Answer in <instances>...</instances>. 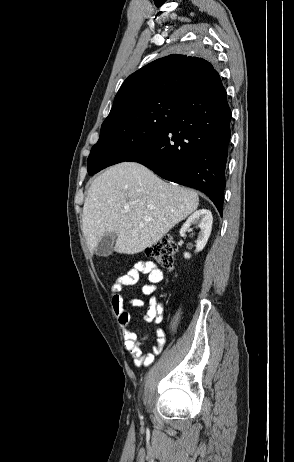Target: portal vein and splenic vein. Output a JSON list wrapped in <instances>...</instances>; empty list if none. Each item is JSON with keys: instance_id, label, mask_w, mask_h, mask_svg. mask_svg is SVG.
Here are the masks:
<instances>
[{"instance_id": "obj_1", "label": "portal vein and splenic vein", "mask_w": 294, "mask_h": 462, "mask_svg": "<svg viewBox=\"0 0 294 462\" xmlns=\"http://www.w3.org/2000/svg\"><path fill=\"white\" fill-rule=\"evenodd\" d=\"M130 211V208L129 207H125V212H128ZM145 220H147V217H144Z\"/></svg>"}]
</instances>
